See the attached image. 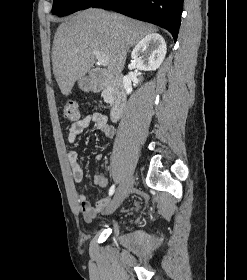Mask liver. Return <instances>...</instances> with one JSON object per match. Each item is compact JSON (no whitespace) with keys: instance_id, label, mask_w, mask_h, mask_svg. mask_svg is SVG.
I'll use <instances>...</instances> for the list:
<instances>
[{"instance_id":"1","label":"liver","mask_w":247,"mask_h":280,"mask_svg":"<svg viewBox=\"0 0 247 280\" xmlns=\"http://www.w3.org/2000/svg\"><path fill=\"white\" fill-rule=\"evenodd\" d=\"M155 31L152 25L101 9L90 8L66 19L58 26L52 47L53 74L62 94L68 95L94 65V51L109 57L110 75H119L129 48Z\"/></svg>"}]
</instances>
